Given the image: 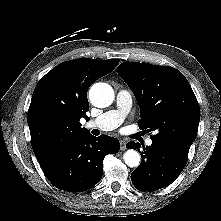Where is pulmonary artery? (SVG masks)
I'll use <instances>...</instances> for the list:
<instances>
[{
    "label": "pulmonary artery",
    "instance_id": "obj_1",
    "mask_svg": "<svg viewBox=\"0 0 221 221\" xmlns=\"http://www.w3.org/2000/svg\"><path fill=\"white\" fill-rule=\"evenodd\" d=\"M132 105V96L128 90H120L116 96V108L109 110L97 118L85 123L87 129H98L101 131H111L116 129L124 120ZM146 144L150 146L152 140L148 139Z\"/></svg>",
    "mask_w": 221,
    "mask_h": 221
}]
</instances>
